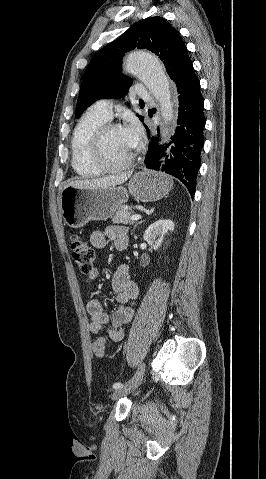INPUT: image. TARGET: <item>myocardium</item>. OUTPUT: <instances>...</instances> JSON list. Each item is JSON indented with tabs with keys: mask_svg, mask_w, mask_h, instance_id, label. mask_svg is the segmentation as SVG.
Here are the masks:
<instances>
[{
	"mask_svg": "<svg viewBox=\"0 0 266 479\" xmlns=\"http://www.w3.org/2000/svg\"><path fill=\"white\" fill-rule=\"evenodd\" d=\"M116 129H122V126L116 123H105L100 126L93 134L89 147V158L93 165L103 172H118L129 168L135 158V153L121 164H111L106 160L103 154V142L106 135Z\"/></svg>",
	"mask_w": 266,
	"mask_h": 479,
	"instance_id": "myocardium-1",
	"label": "myocardium"
}]
</instances>
